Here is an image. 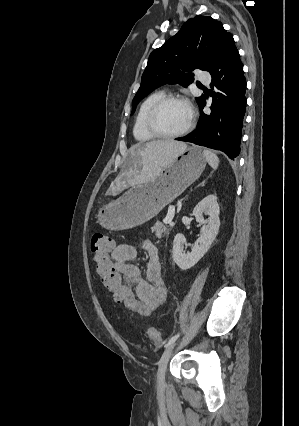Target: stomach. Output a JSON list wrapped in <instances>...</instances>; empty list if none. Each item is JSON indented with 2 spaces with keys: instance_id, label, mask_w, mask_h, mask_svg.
<instances>
[{
  "instance_id": "obj_1",
  "label": "stomach",
  "mask_w": 299,
  "mask_h": 426,
  "mask_svg": "<svg viewBox=\"0 0 299 426\" xmlns=\"http://www.w3.org/2000/svg\"><path fill=\"white\" fill-rule=\"evenodd\" d=\"M206 165L204 153L188 147L160 175L133 186L98 212V223L108 230H125L154 218L199 178Z\"/></svg>"
}]
</instances>
